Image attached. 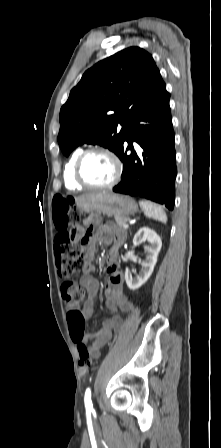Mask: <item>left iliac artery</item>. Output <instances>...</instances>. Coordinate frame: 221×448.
I'll return each instance as SVG.
<instances>
[{
	"label": "left iliac artery",
	"instance_id": "1",
	"mask_svg": "<svg viewBox=\"0 0 221 448\" xmlns=\"http://www.w3.org/2000/svg\"><path fill=\"white\" fill-rule=\"evenodd\" d=\"M84 402H85V407L87 410H92L93 409V404L91 401V390L90 388H87L85 391V396H84Z\"/></svg>",
	"mask_w": 221,
	"mask_h": 448
}]
</instances>
